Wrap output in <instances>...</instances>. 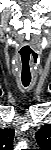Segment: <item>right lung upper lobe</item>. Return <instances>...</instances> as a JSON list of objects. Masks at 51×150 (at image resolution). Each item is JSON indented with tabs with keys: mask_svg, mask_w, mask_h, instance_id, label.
<instances>
[{
	"mask_svg": "<svg viewBox=\"0 0 51 150\" xmlns=\"http://www.w3.org/2000/svg\"><path fill=\"white\" fill-rule=\"evenodd\" d=\"M14 138L13 129H0V150H12V142Z\"/></svg>",
	"mask_w": 51,
	"mask_h": 150,
	"instance_id": "obj_1",
	"label": "right lung upper lobe"
}]
</instances>
